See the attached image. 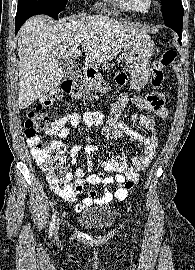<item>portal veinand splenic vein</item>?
<instances>
[{"mask_svg":"<svg viewBox=\"0 0 195 270\" xmlns=\"http://www.w3.org/2000/svg\"><path fill=\"white\" fill-rule=\"evenodd\" d=\"M77 43H78V45L82 44L83 43V39H78L77 40Z\"/></svg>","mask_w":195,"mask_h":270,"instance_id":"18ae733b","label":"portal vein and splenic vein"}]
</instances>
